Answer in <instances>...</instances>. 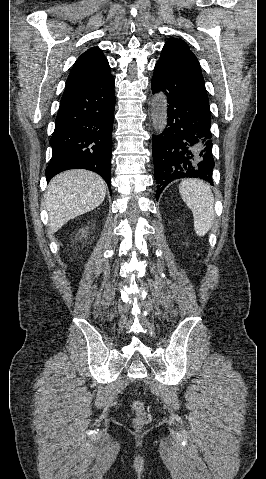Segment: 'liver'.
<instances>
[{"mask_svg": "<svg viewBox=\"0 0 266 479\" xmlns=\"http://www.w3.org/2000/svg\"><path fill=\"white\" fill-rule=\"evenodd\" d=\"M106 184L96 173L70 170L55 176L49 183L46 209L50 234L77 216L92 211L105 199Z\"/></svg>", "mask_w": 266, "mask_h": 479, "instance_id": "obj_1", "label": "liver"}]
</instances>
